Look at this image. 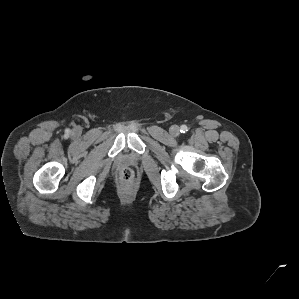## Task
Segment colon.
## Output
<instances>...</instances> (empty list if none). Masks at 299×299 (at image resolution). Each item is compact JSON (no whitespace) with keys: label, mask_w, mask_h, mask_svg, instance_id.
<instances>
[{"label":"colon","mask_w":299,"mask_h":299,"mask_svg":"<svg viewBox=\"0 0 299 299\" xmlns=\"http://www.w3.org/2000/svg\"><path fill=\"white\" fill-rule=\"evenodd\" d=\"M133 179H134V174L131 169L126 168L121 171L120 180L123 184L129 185L133 182Z\"/></svg>","instance_id":"5ec220e1"}]
</instances>
